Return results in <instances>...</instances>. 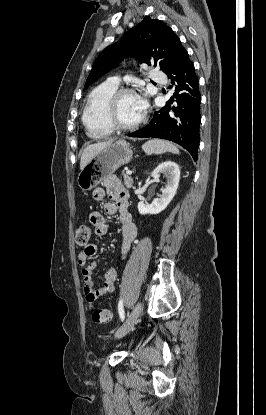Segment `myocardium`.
Returning <instances> with one entry per match:
<instances>
[{
  "mask_svg": "<svg viewBox=\"0 0 266 415\" xmlns=\"http://www.w3.org/2000/svg\"><path fill=\"white\" fill-rule=\"evenodd\" d=\"M127 94L134 95V91L130 88H119L109 98L107 103V118L114 130L133 131L142 126L146 121V113L143 112L141 118L134 124H123L117 117V104L119 99Z\"/></svg>",
  "mask_w": 266,
  "mask_h": 415,
  "instance_id": "1",
  "label": "myocardium"
}]
</instances>
